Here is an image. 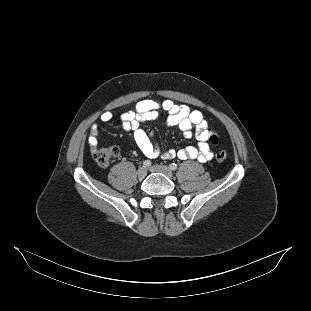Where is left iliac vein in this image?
Masks as SVG:
<instances>
[{"mask_svg": "<svg viewBox=\"0 0 311 311\" xmlns=\"http://www.w3.org/2000/svg\"><path fill=\"white\" fill-rule=\"evenodd\" d=\"M150 171L152 172H159V173H162L164 175H166L167 177L169 178H172L173 177V173L171 171V169L165 165H153L150 167L149 169Z\"/></svg>", "mask_w": 311, "mask_h": 311, "instance_id": "1", "label": "left iliac vein"}]
</instances>
